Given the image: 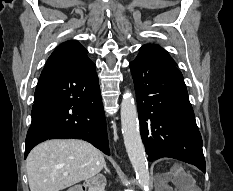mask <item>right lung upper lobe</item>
<instances>
[{"instance_id":"cb5924a9","label":"right lung upper lobe","mask_w":233,"mask_h":191,"mask_svg":"<svg viewBox=\"0 0 233 191\" xmlns=\"http://www.w3.org/2000/svg\"><path fill=\"white\" fill-rule=\"evenodd\" d=\"M89 60L87 50L77 41L59 45L48 58L44 68L49 66H75Z\"/></svg>"}]
</instances>
